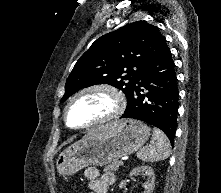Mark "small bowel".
Returning <instances> with one entry per match:
<instances>
[{
  "label": "small bowel",
  "mask_w": 221,
  "mask_h": 193,
  "mask_svg": "<svg viewBox=\"0 0 221 193\" xmlns=\"http://www.w3.org/2000/svg\"><path fill=\"white\" fill-rule=\"evenodd\" d=\"M84 177L89 181V187L94 193H107L109 185L115 181L110 172L100 173L96 167H88L84 171Z\"/></svg>",
  "instance_id": "small-bowel-1"
}]
</instances>
